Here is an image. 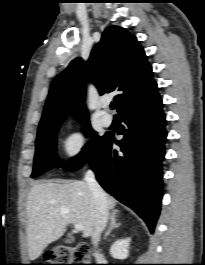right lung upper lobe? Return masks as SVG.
I'll return each instance as SVG.
<instances>
[{"instance_id": "1", "label": "right lung upper lobe", "mask_w": 205, "mask_h": 265, "mask_svg": "<svg viewBox=\"0 0 205 265\" xmlns=\"http://www.w3.org/2000/svg\"><path fill=\"white\" fill-rule=\"evenodd\" d=\"M86 80L100 94L118 93L114 102L119 114L145 102L157 91L152 67L136 37L122 27H108L86 63L76 58L54 78L38 131L62 123L70 113L87 120L83 104Z\"/></svg>"}]
</instances>
